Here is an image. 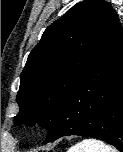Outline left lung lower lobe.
<instances>
[{"instance_id": "left-lung-lower-lobe-1", "label": "left lung lower lobe", "mask_w": 123, "mask_h": 152, "mask_svg": "<svg viewBox=\"0 0 123 152\" xmlns=\"http://www.w3.org/2000/svg\"><path fill=\"white\" fill-rule=\"evenodd\" d=\"M68 135L97 138L123 152V32L119 23L61 102L43 143Z\"/></svg>"}]
</instances>
